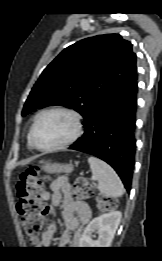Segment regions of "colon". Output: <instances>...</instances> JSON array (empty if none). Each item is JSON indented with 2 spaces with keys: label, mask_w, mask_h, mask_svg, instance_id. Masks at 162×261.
Wrapping results in <instances>:
<instances>
[{
  "label": "colon",
  "mask_w": 162,
  "mask_h": 261,
  "mask_svg": "<svg viewBox=\"0 0 162 261\" xmlns=\"http://www.w3.org/2000/svg\"><path fill=\"white\" fill-rule=\"evenodd\" d=\"M17 211L21 217L25 234L35 239L39 236L43 226V217L46 209L41 205L40 195L43 190V179L39 177L36 168H29L20 175L16 185ZM95 189L93 185L83 177L74 182V198L78 201L93 198ZM97 207L100 210H108L116 206V200L112 197L98 195Z\"/></svg>",
  "instance_id": "colon-1"
}]
</instances>
